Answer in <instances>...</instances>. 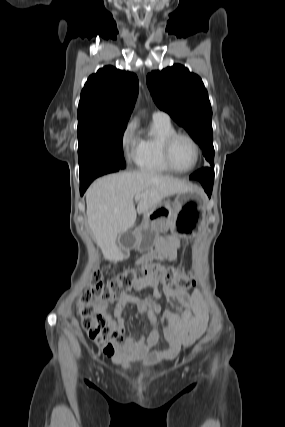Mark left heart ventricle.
Listing matches in <instances>:
<instances>
[{"instance_id":"obj_1","label":"left heart ventricle","mask_w":285,"mask_h":427,"mask_svg":"<svg viewBox=\"0 0 285 427\" xmlns=\"http://www.w3.org/2000/svg\"><path fill=\"white\" fill-rule=\"evenodd\" d=\"M171 160L173 165L180 170L190 168L195 160V149L186 138H178L171 149Z\"/></svg>"}]
</instances>
